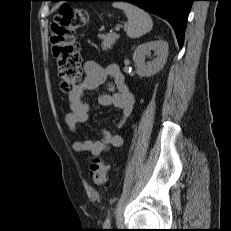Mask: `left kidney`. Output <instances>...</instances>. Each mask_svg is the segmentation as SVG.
<instances>
[{
	"mask_svg": "<svg viewBox=\"0 0 231 231\" xmlns=\"http://www.w3.org/2000/svg\"><path fill=\"white\" fill-rule=\"evenodd\" d=\"M168 49V43L163 40L150 41L139 45L133 54V61L135 62L138 75L148 77L158 73L166 63ZM151 50H155L158 56L152 61L145 63V56Z\"/></svg>",
	"mask_w": 231,
	"mask_h": 231,
	"instance_id": "left-kidney-1",
	"label": "left kidney"
}]
</instances>
